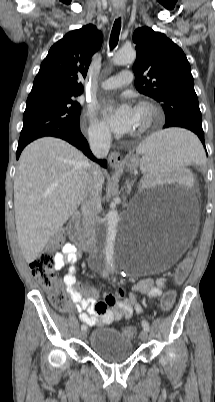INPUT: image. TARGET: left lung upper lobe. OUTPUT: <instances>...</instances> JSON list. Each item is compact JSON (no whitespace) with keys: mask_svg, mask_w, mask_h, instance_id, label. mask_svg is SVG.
I'll return each mask as SVG.
<instances>
[{"mask_svg":"<svg viewBox=\"0 0 215 402\" xmlns=\"http://www.w3.org/2000/svg\"><path fill=\"white\" fill-rule=\"evenodd\" d=\"M133 41L136 89L161 103L166 123L182 121L202 127L190 64L182 49L149 27L136 29Z\"/></svg>","mask_w":215,"mask_h":402,"instance_id":"5c2ea615","label":"left lung upper lobe"}]
</instances>
